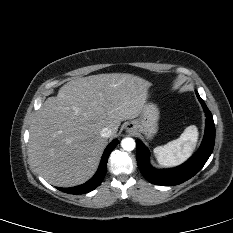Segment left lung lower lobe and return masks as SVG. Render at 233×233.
Returning a JSON list of instances; mask_svg holds the SVG:
<instances>
[{
    "label": "left lung lower lobe",
    "instance_id": "1",
    "mask_svg": "<svg viewBox=\"0 0 233 233\" xmlns=\"http://www.w3.org/2000/svg\"><path fill=\"white\" fill-rule=\"evenodd\" d=\"M195 92L204 109L207 120L202 144L198 151L188 161L172 169H155L150 165L148 149L141 141H136L137 163L139 169L143 176L152 184L171 186L185 182L202 169L213 151L215 142V125L213 117L198 92Z\"/></svg>",
    "mask_w": 233,
    "mask_h": 233
}]
</instances>
